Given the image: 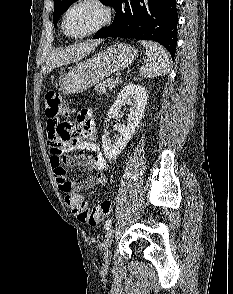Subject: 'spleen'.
<instances>
[{"label":"spleen","instance_id":"spleen-1","mask_svg":"<svg viewBox=\"0 0 233 294\" xmlns=\"http://www.w3.org/2000/svg\"><path fill=\"white\" fill-rule=\"evenodd\" d=\"M140 43L146 48L149 59V62L140 68V76L153 78L167 74L170 71V60L166 50L153 41L141 40Z\"/></svg>","mask_w":233,"mask_h":294}]
</instances>
